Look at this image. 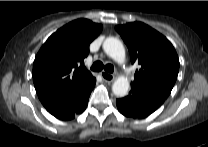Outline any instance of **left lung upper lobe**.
Listing matches in <instances>:
<instances>
[{
  "mask_svg": "<svg viewBox=\"0 0 208 147\" xmlns=\"http://www.w3.org/2000/svg\"><path fill=\"white\" fill-rule=\"evenodd\" d=\"M115 29L128 47L131 63L141 66L131 85L167 98L179 71V59L170 41L141 22L119 25Z\"/></svg>",
  "mask_w": 208,
  "mask_h": 147,
  "instance_id": "left-lung-upper-lobe-1",
  "label": "left lung upper lobe"
}]
</instances>
